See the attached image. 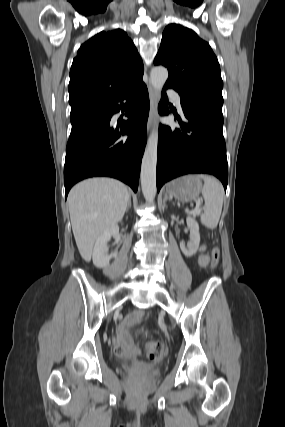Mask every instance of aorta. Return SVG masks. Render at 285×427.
<instances>
[{"mask_svg":"<svg viewBox=\"0 0 285 427\" xmlns=\"http://www.w3.org/2000/svg\"><path fill=\"white\" fill-rule=\"evenodd\" d=\"M168 79V71L165 67L156 66L150 73L151 84L159 95L165 82ZM157 148H158V125L150 134L141 165V188L147 202H153L156 196V166H157Z\"/></svg>","mask_w":285,"mask_h":427,"instance_id":"aorta-1","label":"aorta"}]
</instances>
